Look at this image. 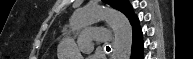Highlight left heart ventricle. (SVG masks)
I'll return each mask as SVG.
<instances>
[{"mask_svg":"<svg viewBox=\"0 0 193 59\" xmlns=\"http://www.w3.org/2000/svg\"><path fill=\"white\" fill-rule=\"evenodd\" d=\"M80 52H81L82 54H87L88 50H87V49H80Z\"/></svg>","mask_w":193,"mask_h":59,"instance_id":"1","label":"left heart ventricle"}]
</instances>
